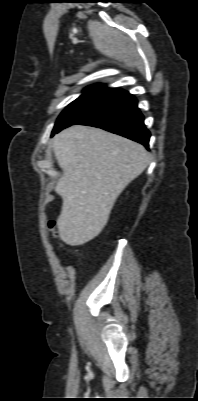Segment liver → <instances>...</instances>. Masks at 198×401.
Returning a JSON list of instances; mask_svg holds the SVG:
<instances>
[{
  "label": "liver",
  "instance_id": "1",
  "mask_svg": "<svg viewBox=\"0 0 198 401\" xmlns=\"http://www.w3.org/2000/svg\"><path fill=\"white\" fill-rule=\"evenodd\" d=\"M53 150L63 171L55 186L63 200L59 236L70 246L82 245L102 231L116 199L150 157L139 143L81 125L58 133Z\"/></svg>",
  "mask_w": 198,
  "mask_h": 401
}]
</instances>
